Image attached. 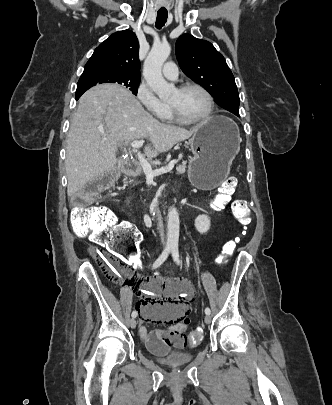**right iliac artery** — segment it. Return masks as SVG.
I'll return each instance as SVG.
<instances>
[{"label":"right iliac artery","mask_w":332,"mask_h":405,"mask_svg":"<svg viewBox=\"0 0 332 405\" xmlns=\"http://www.w3.org/2000/svg\"><path fill=\"white\" fill-rule=\"evenodd\" d=\"M170 252H171V248H169V247L165 248L164 251L162 252V254H161V255L158 257V259L154 262L152 268H153V269H156L157 267H159V266L167 259V257L169 256ZM137 315H138V312H137V311H133L132 314H131L132 318L137 317Z\"/></svg>","instance_id":"obj_1"}]
</instances>
